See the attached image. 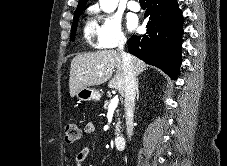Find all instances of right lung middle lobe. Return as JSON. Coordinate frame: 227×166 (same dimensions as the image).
Here are the masks:
<instances>
[{
  "label": "right lung middle lobe",
  "mask_w": 227,
  "mask_h": 166,
  "mask_svg": "<svg viewBox=\"0 0 227 166\" xmlns=\"http://www.w3.org/2000/svg\"><path fill=\"white\" fill-rule=\"evenodd\" d=\"M82 8L83 7L77 8L76 12L74 14L73 25H72V28H71V38H70L71 41H73L74 38H75L76 28H77V24H78V20H79V14H80Z\"/></svg>",
  "instance_id": "obj_1"
}]
</instances>
